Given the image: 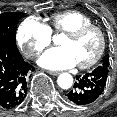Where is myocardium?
<instances>
[{
  "mask_svg": "<svg viewBox=\"0 0 117 117\" xmlns=\"http://www.w3.org/2000/svg\"><path fill=\"white\" fill-rule=\"evenodd\" d=\"M89 31H96L99 34L100 45L96 54L89 61L78 64V67L80 69H88L100 61V59L102 58L105 52L106 45H107L106 34L101 27L94 25V24L80 26L78 28H75L65 33V36H68L71 38H78Z\"/></svg>",
  "mask_w": 117,
  "mask_h": 117,
  "instance_id": "1",
  "label": "myocardium"
}]
</instances>
